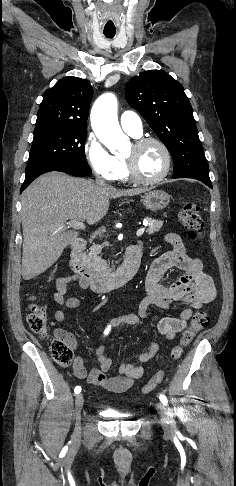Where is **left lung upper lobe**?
<instances>
[{
  "instance_id": "left-lung-upper-lobe-1",
  "label": "left lung upper lobe",
  "mask_w": 236,
  "mask_h": 486,
  "mask_svg": "<svg viewBox=\"0 0 236 486\" xmlns=\"http://www.w3.org/2000/svg\"><path fill=\"white\" fill-rule=\"evenodd\" d=\"M125 96L170 150L173 177L210 181L193 110L183 86L164 71L149 70L127 82Z\"/></svg>"
}]
</instances>
